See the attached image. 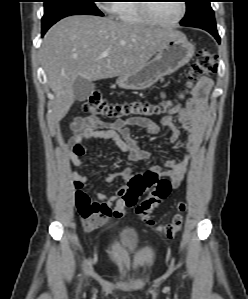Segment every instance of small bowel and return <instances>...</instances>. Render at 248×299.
Segmentation results:
<instances>
[{
	"label": "small bowel",
	"instance_id": "c3829d8e",
	"mask_svg": "<svg viewBox=\"0 0 248 299\" xmlns=\"http://www.w3.org/2000/svg\"><path fill=\"white\" fill-rule=\"evenodd\" d=\"M212 81L209 78L202 77L198 80L193 89L191 97L186 99L185 105L171 104L167 112L177 114L179 117V126L173 120L166 116L162 118L160 124L143 117H131L119 119L112 123H101L95 117H84L77 119L72 125V137L67 143L69 148L68 159L75 165H82V157L86 149L83 143L88 140H112L124 152L128 154L131 162L137 163L149 159L151 154L137 147L130 136L131 127H140L147 130L150 134H157L160 126L165 127L170 132V141L178 143L181 138V132L187 135L184 149L187 154L183 159L167 160L162 166H152L149 170L156 172L160 177L169 178L172 189L178 188L188 169V160L197 156L202 138V131L206 121V97L212 89ZM179 94L183 97V93ZM161 100L165 101L164 94ZM72 177L77 191L88 186V177L84 174L73 172ZM130 178L129 170L109 174L106 180L112 182L116 179L127 181ZM125 186L120 187L114 195L107 196L98 193L97 200L90 199V205L94 214L89 217L79 215L81 224L86 231L96 230L105 225L110 218H121L126 212L127 207L121 200V193ZM76 191V192H77ZM83 192V191H82Z\"/></svg>",
	"mask_w": 248,
	"mask_h": 299
}]
</instances>
